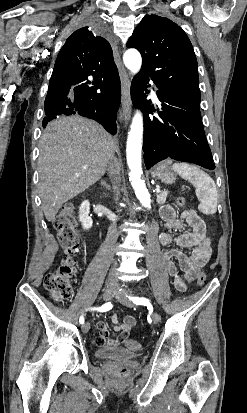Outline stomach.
<instances>
[{
  "mask_svg": "<svg viewBox=\"0 0 247 413\" xmlns=\"http://www.w3.org/2000/svg\"><path fill=\"white\" fill-rule=\"evenodd\" d=\"M152 176L160 178V180L166 182V184H171V182H175L176 180V172H173L171 166H168V164H160V166H157V168L153 170Z\"/></svg>",
  "mask_w": 247,
  "mask_h": 413,
  "instance_id": "0dacf381",
  "label": "stomach"
}]
</instances>
